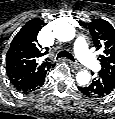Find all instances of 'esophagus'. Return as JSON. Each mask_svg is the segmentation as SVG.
<instances>
[{
    "label": "esophagus",
    "instance_id": "34e87169",
    "mask_svg": "<svg viewBox=\"0 0 115 119\" xmlns=\"http://www.w3.org/2000/svg\"><path fill=\"white\" fill-rule=\"evenodd\" d=\"M69 63H70V65H71L73 68H75L76 70L81 69L80 64L77 63L76 61L69 60Z\"/></svg>",
    "mask_w": 115,
    "mask_h": 119
}]
</instances>
